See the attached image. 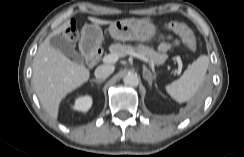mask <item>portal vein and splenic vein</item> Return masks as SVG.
<instances>
[{
	"mask_svg": "<svg viewBox=\"0 0 244 157\" xmlns=\"http://www.w3.org/2000/svg\"><path fill=\"white\" fill-rule=\"evenodd\" d=\"M128 54L133 56V57H136V58H138L144 62H150L146 56L139 54V53H136L134 51H130ZM118 59H119V56L117 54H109V55H106L102 58V62L106 63V64H110V63H115L116 61H118ZM176 60L178 63V73H181V70L183 67L182 61L180 58H176Z\"/></svg>",
	"mask_w": 244,
	"mask_h": 157,
	"instance_id": "18ae733b",
	"label": "portal vein and splenic vein"
}]
</instances>
